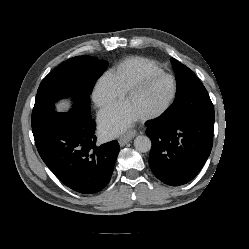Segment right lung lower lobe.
<instances>
[{
  "label": "right lung lower lobe",
  "instance_id": "right-lung-lower-lobe-1",
  "mask_svg": "<svg viewBox=\"0 0 249 249\" xmlns=\"http://www.w3.org/2000/svg\"><path fill=\"white\" fill-rule=\"evenodd\" d=\"M32 132L42 160L66 186L91 194L108 184L120 147L115 140L96 145L90 106L53 112L32 126Z\"/></svg>",
  "mask_w": 249,
  "mask_h": 249
}]
</instances>
